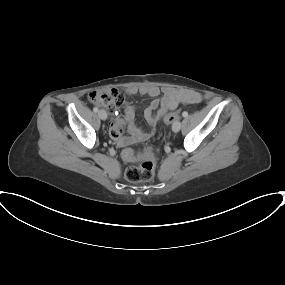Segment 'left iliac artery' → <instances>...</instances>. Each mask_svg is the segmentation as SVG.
<instances>
[{
	"label": "left iliac artery",
	"instance_id": "1",
	"mask_svg": "<svg viewBox=\"0 0 285 285\" xmlns=\"http://www.w3.org/2000/svg\"><path fill=\"white\" fill-rule=\"evenodd\" d=\"M182 116H183V117H187V116H188V113H187V112H183V113H182Z\"/></svg>",
	"mask_w": 285,
	"mask_h": 285
}]
</instances>
